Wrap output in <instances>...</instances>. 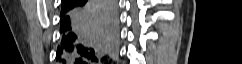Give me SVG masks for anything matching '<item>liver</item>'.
Returning <instances> with one entry per match:
<instances>
[{
  "mask_svg": "<svg viewBox=\"0 0 242 64\" xmlns=\"http://www.w3.org/2000/svg\"><path fill=\"white\" fill-rule=\"evenodd\" d=\"M93 17L96 18V13L93 14ZM92 22H93L95 28H97L98 31H100V32L105 31L104 28H101V27H100V25L98 24V22L96 21V19H95V20L92 19Z\"/></svg>",
  "mask_w": 242,
  "mask_h": 64,
  "instance_id": "1",
  "label": "liver"
}]
</instances>
